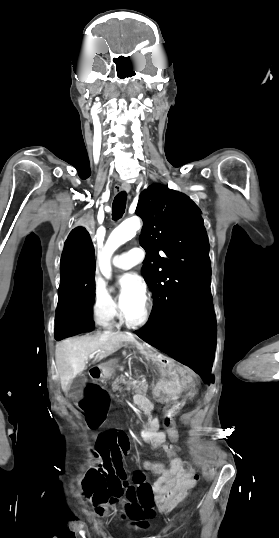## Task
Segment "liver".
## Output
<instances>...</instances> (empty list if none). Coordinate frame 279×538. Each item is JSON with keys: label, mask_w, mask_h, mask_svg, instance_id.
<instances>
[{"label": "liver", "mask_w": 279, "mask_h": 538, "mask_svg": "<svg viewBox=\"0 0 279 538\" xmlns=\"http://www.w3.org/2000/svg\"><path fill=\"white\" fill-rule=\"evenodd\" d=\"M123 342H136V340L130 334L114 332V334H99L95 338L94 336L67 338L57 342L55 360L63 392H67L68 384L85 370V362L90 354L100 350L99 360H102L122 348Z\"/></svg>", "instance_id": "6515ba94"}]
</instances>
